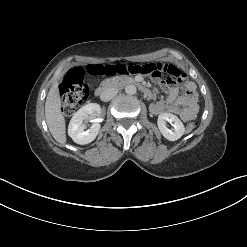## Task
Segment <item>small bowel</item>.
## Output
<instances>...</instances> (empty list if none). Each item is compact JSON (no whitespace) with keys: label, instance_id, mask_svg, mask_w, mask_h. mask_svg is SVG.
Returning a JSON list of instances; mask_svg holds the SVG:
<instances>
[{"label":"small bowel","instance_id":"small-bowel-1","mask_svg":"<svg viewBox=\"0 0 247 247\" xmlns=\"http://www.w3.org/2000/svg\"><path fill=\"white\" fill-rule=\"evenodd\" d=\"M130 74L149 77L168 94L164 100L153 102L150 105V111L153 114L175 113L183 122L197 116L199 105L195 86L187 80V75L175 64L170 62L135 64L132 69L122 75ZM165 75L166 79L163 78ZM181 86L185 89L183 94L180 93Z\"/></svg>","mask_w":247,"mask_h":247}]
</instances>
